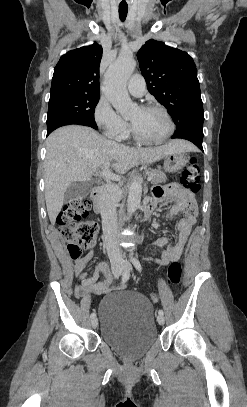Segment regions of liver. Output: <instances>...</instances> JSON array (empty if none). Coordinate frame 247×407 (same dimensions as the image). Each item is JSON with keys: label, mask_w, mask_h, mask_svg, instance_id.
Wrapping results in <instances>:
<instances>
[{"label": "liver", "mask_w": 247, "mask_h": 407, "mask_svg": "<svg viewBox=\"0 0 247 407\" xmlns=\"http://www.w3.org/2000/svg\"><path fill=\"white\" fill-rule=\"evenodd\" d=\"M44 161L45 200L52 224L60 213L64 194L73 182L89 181L99 166L114 160L112 168L125 173L142 163H153L168 154L186 152L193 145L172 140L155 148H132L100 136L89 127L69 125L47 138Z\"/></svg>", "instance_id": "1"}]
</instances>
